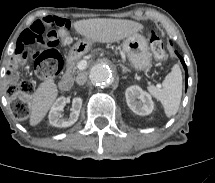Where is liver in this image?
<instances>
[{
    "label": "liver",
    "mask_w": 215,
    "mask_h": 183,
    "mask_svg": "<svg viewBox=\"0 0 215 183\" xmlns=\"http://www.w3.org/2000/svg\"><path fill=\"white\" fill-rule=\"evenodd\" d=\"M78 34L92 42L110 43L127 38L144 27L131 20L120 19H87L73 24ZM58 95L57 85L52 78L42 82L30 101V125L36 126L46 116Z\"/></svg>",
    "instance_id": "liver-1"
}]
</instances>
